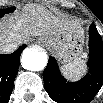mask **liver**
Masks as SVG:
<instances>
[{
	"instance_id": "liver-1",
	"label": "liver",
	"mask_w": 103,
	"mask_h": 103,
	"mask_svg": "<svg viewBox=\"0 0 103 103\" xmlns=\"http://www.w3.org/2000/svg\"><path fill=\"white\" fill-rule=\"evenodd\" d=\"M81 29L65 18L54 16L43 6L29 4L24 11L0 24L1 44L17 43V47L30 37H55Z\"/></svg>"
}]
</instances>
